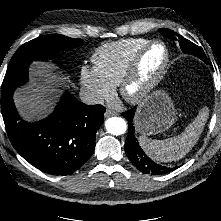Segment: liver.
<instances>
[{
	"label": "liver",
	"mask_w": 221,
	"mask_h": 221,
	"mask_svg": "<svg viewBox=\"0 0 221 221\" xmlns=\"http://www.w3.org/2000/svg\"><path fill=\"white\" fill-rule=\"evenodd\" d=\"M54 69L52 64L34 63L30 68L33 83L15 94V104L26 120L47 114L58 95L59 87L68 82L66 77L54 73Z\"/></svg>",
	"instance_id": "1"
}]
</instances>
